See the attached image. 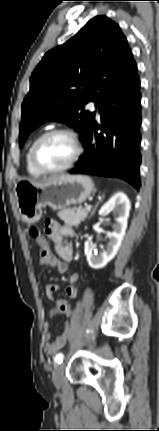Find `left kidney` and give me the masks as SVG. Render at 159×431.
<instances>
[{
  "mask_svg": "<svg viewBox=\"0 0 159 431\" xmlns=\"http://www.w3.org/2000/svg\"><path fill=\"white\" fill-rule=\"evenodd\" d=\"M110 211H113L117 215V218L113 225V231L107 233L109 241L103 252L95 253L92 242H85V255L89 266L93 269H101L106 266L115 257L121 246L130 212V201L123 192L116 193L105 203L99 210V215L104 217Z\"/></svg>",
  "mask_w": 159,
  "mask_h": 431,
  "instance_id": "left-kidney-1",
  "label": "left kidney"
}]
</instances>
